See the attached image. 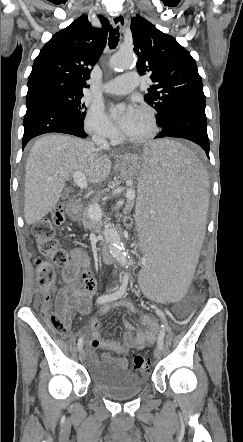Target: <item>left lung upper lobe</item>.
<instances>
[{
	"mask_svg": "<svg viewBox=\"0 0 243 442\" xmlns=\"http://www.w3.org/2000/svg\"><path fill=\"white\" fill-rule=\"evenodd\" d=\"M131 31L138 72L151 74L145 99L158 112L159 124L178 100L204 95L202 79L195 60L172 36L140 16L132 19Z\"/></svg>",
	"mask_w": 243,
	"mask_h": 442,
	"instance_id": "obj_1",
	"label": "left lung upper lobe"
}]
</instances>
